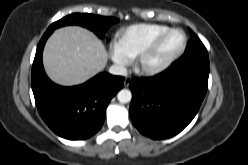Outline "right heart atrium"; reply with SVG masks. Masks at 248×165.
Here are the masks:
<instances>
[{"instance_id": "1", "label": "right heart atrium", "mask_w": 248, "mask_h": 165, "mask_svg": "<svg viewBox=\"0 0 248 165\" xmlns=\"http://www.w3.org/2000/svg\"><path fill=\"white\" fill-rule=\"evenodd\" d=\"M110 56L119 68H125L130 62V59L118 48L117 44L110 46Z\"/></svg>"}]
</instances>
